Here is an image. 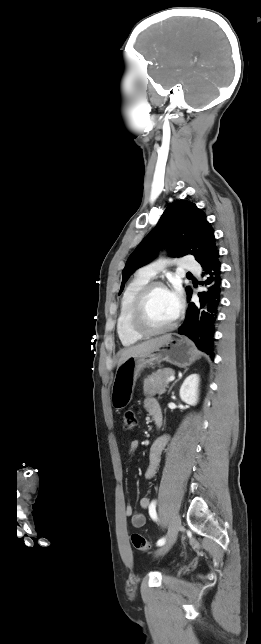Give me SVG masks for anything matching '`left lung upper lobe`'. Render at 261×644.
Instances as JSON below:
<instances>
[{
  "label": "left lung upper lobe",
  "instance_id": "1",
  "mask_svg": "<svg viewBox=\"0 0 261 644\" xmlns=\"http://www.w3.org/2000/svg\"><path fill=\"white\" fill-rule=\"evenodd\" d=\"M163 244L168 245L171 256L191 254L201 266L218 251L214 231L205 213L192 202L175 201L166 208L157 226L128 258L122 272L120 293L129 276L151 261ZM186 290L188 295L191 290L189 287Z\"/></svg>",
  "mask_w": 261,
  "mask_h": 644
}]
</instances>
